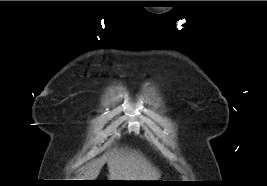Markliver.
<instances>
[{
  "label": "liver",
  "mask_w": 267,
  "mask_h": 186,
  "mask_svg": "<svg viewBox=\"0 0 267 186\" xmlns=\"http://www.w3.org/2000/svg\"><path fill=\"white\" fill-rule=\"evenodd\" d=\"M105 163L108 165L110 180L156 181L161 176L159 171L136 151L114 149L92 162L86 169L85 178H97Z\"/></svg>",
  "instance_id": "liver-1"
}]
</instances>
